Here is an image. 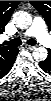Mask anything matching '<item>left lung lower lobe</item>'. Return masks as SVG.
Masks as SVG:
<instances>
[{
  "mask_svg": "<svg viewBox=\"0 0 51 101\" xmlns=\"http://www.w3.org/2000/svg\"><path fill=\"white\" fill-rule=\"evenodd\" d=\"M43 63H44V61L41 63V66H42L43 68H46L45 64H43Z\"/></svg>",
  "mask_w": 51,
  "mask_h": 101,
  "instance_id": "1",
  "label": "left lung lower lobe"
}]
</instances>
